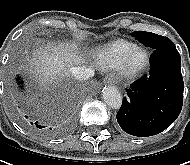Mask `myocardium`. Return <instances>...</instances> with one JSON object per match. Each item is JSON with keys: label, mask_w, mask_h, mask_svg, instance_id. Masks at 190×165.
I'll return each mask as SVG.
<instances>
[{"label": "myocardium", "mask_w": 190, "mask_h": 165, "mask_svg": "<svg viewBox=\"0 0 190 165\" xmlns=\"http://www.w3.org/2000/svg\"><path fill=\"white\" fill-rule=\"evenodd\" d=\"M138 53L144 54V61L140 65H134L133 60ZM149 65H150L149 52L145 48L137 47L125 57L121 66V72L123 76L126 78H136L141 74H143L146 71V69L149 67Z\"/></svg>", "instance_id": "1"}]
</instances>
